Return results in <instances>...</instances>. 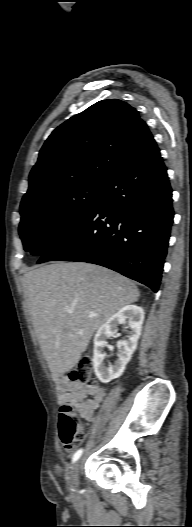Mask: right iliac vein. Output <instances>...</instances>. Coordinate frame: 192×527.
Listing matches in <instances>:
<instances>
[{
  "instance_id": "63e3f726",
  "label": "right iliac vein",
  "mask_w": 192,
  "mask_h": 527,
  "mask_svg": "<svg viewBox=\"0 0 192 527\" xmlns=\"http://www.w3.org/2000/svg\"><path fill=\"white\" fill-rule=\"evenodd\" d=\"M80 462H76L69 472V482L71 487L76 489L78 486V472H79Z\"/></svg>"
}]
</instances>
